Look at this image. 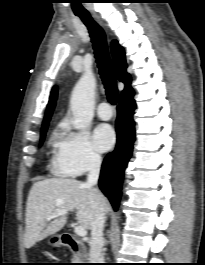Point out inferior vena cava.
Wrapping results in <instances>:
<instances>
[{
	"label": "inferior vena cava",
	"instance_id": "obj_1",
	"mask_svg": "<svg viewBox=\"0 0 205 265\" xmlns=\"http://www.w3.org/2000/svg\"><path fill=\"white\" fill-rule=\"evenodd\" d=\"M101 166V157L98 154H91L89 159V173L86 186L92 187L97 184ZM105 224V214L101 211L97 213L95 219L91 223V240L89 260L90 263H104L102 247L104 245L103 229Z\"/></svg>",
	"mask_w": 205,
	"mask_h": 265
}]
</instances>
